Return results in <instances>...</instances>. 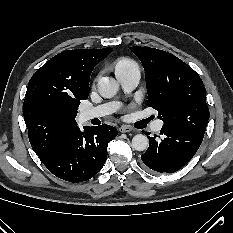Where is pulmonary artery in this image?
<instances>
[{
    "label": "pulmonary artery",
    "mask_w": 233,
    "mask_h": 233,
    "mask_svg": "<svg viewBox=\"0 0 233 233\" xmlns=\"http://www.w3.org/2000/svg\"><path fill=\"white\" fill-rule=\"evenodd\" d=\"M116 77L125 91L133 90L140 80V70L138 67H132L127 70L121 71L116 74ZM117 109L116 103L103 104L94 108L84 110L81 113V119L83 121H89L91 119L100 118L113 113ZM163 121L156 120L153 123V130L159 132L162 129Z\"/></svg>",
    "instance_id": "1"
}]
</instances>
